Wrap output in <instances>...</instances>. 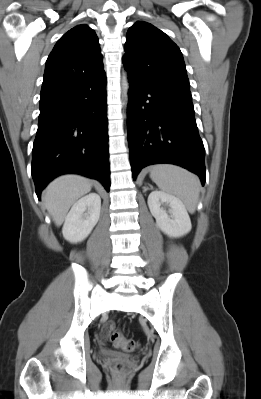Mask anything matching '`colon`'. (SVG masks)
<instances>
[{"instance_id": "obj_1", "label": "colon", "mask_w": 261, "mask_h": 399, "mask_svg": "<svg viewBox=\"0 0 261 399\" xmlns=\"http://www.w3.org/2000/svg\"><path fill=\"white\" fill-rule=\"evenodd\" d=\"M110 339L114 346L126 352H133L139 347L138 341L124 337L120 330L115 328L114 325H112L110 328ZM122 370L123 367L121 364H118L115 367V371L117 373L122 372Z\"/></svg>"}]
</instances>
